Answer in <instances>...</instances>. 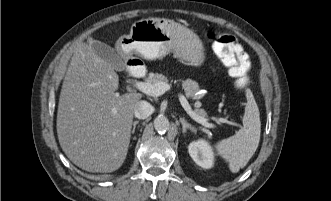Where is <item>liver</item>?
Here are the masks:
<instances>
[{
	"label": "liver",
	"instance_id": "obj_1",
	"mask_svg": "<svg viewBox=\"0 0 331 201\" xmlns=\"http://www.w3.org/2000/svg\"><path fill=\"white\" fill-rule=\"evenodd\" d=\"M91 43L79 44L71 57L59 98L57 135L76 166L110 173L126 158L134 107L142 94L117 93V73Z\"/></svg>",
	"mask_w": 331,
	"mask_h": 201
}]
</instances>
